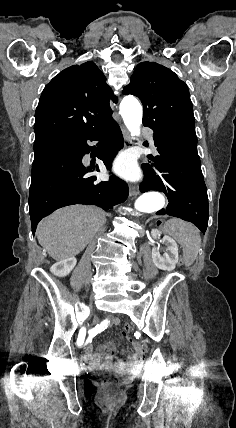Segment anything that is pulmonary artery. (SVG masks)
Listing matches in <instances>:
<instances>
[{"instance_id":"e3ab8cb5","label":"pulmonary artery","mask_w":236,"mask_h":428,"mask_svg":"<svg viewBox=\"0 0 236 428\" xmlns=\"http://www.w3.org/2000/svg\"><path fill=\"white\" fill-rule=\"evenodd\" d=\"M150 140H151V143L153 144V143H154V140H153V138H152V137L150 138Z\"/></svg>"}]
</instances>
